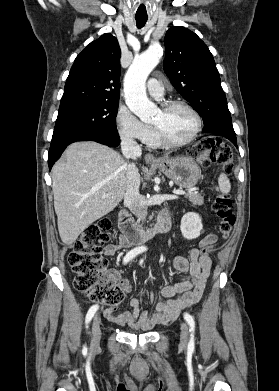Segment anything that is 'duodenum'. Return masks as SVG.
Returning <instances> with one entry per match:
<instances>
[{"mask_svg": "<svg viewBox=\"0 0 279 391\" xmlns=\"http://www.w3.org/2000/svg\"><path fill=\"white\" fill-rule=\"evenodd\" d=\"M172 225L173 221L168 210H164L157 222L147 229L136 225L125 209H122L118 215V227L127 245L143 244L159 234L168 232Z\"/></svg>", "mask_w": 279, "mask_h": 391, "instance_id": "duodenum-1", "label": "duodenum"}]
</instances>
